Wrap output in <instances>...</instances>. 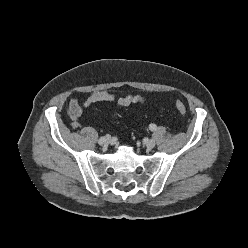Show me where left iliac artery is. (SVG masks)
Returning a JSON list of instances; mask_svg holds the SVG:
<instances>
[{"label":"left iliac artery","instance_id":"obj_1","mask_svg":"<svg viewBox=\"0 0 248 248\" xmlns=\"http://www.w3.org/2000/svg\"><path fill=\"white\" fill-rule=\"evenodd\" d=\"M156 128H157V126H156L155 124H150V125H149V129H150L151 131H155Z\"/></svg>","mask_w":248,"mask_h":248}]
</instances>
